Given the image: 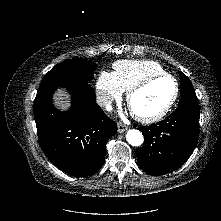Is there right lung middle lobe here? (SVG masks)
I'll list each match as a JSON object with an SVG mask.
<instances>
[{"label":"right lung middle lobe","mask_w":221,"mask_h":221,"mask_svg":"<svg viewBox=\"0 0 221 221\" xmlns=\"http://www.w3.org/2000/svg\"><path fill=\"white\" fill-rule=\"evenodd\" d=\"M96 64L90 60L74 58L61 62L48 72L40 87L67 85L76 81H90Z\"/></svg>","instance_id":"1"}]
</instances>
